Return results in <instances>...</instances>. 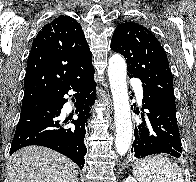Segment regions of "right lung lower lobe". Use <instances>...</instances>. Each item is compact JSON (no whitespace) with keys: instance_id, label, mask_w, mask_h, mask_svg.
Wrapping results in <instances>:
<instances>
[{"instance_id":"obj_1","label":"right lung lower lobe","mask_w":196,"mask_h":182,"mask_svg":"<svg viewBox=\"0 0 196 182\" xmlns=\"http://www.w3.org/2000/svg\"><path fill=\"white\" fill-rule=\"evenodd\" d=\"M95 86L94 68L89 64L32 108L21 111L10 155L25 146L40 145L67 156L82 169L87 152L83 141L87 119L96 99ZM70 90L77 92L74 95L76 120L61 117V109L67 102L64 95Z\"/></svg>"}]
</instances>
